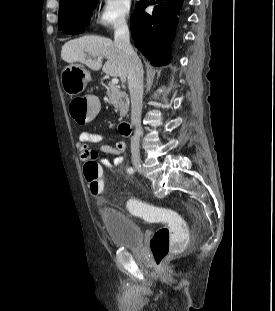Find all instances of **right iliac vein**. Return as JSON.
<instances>
[{
  "mask_svg": "<svg viewBox=\"0 0 275 311\" xmlns=\"http://www.w3.org/2000/svg\"><path fill=\"white\" fill-rule=\"evenodd\" d=\"M133 165L137 170L141 171L142 164L140 158H134Z\"/></svg>",
  "mask_w": 275,
  "mask_h": 311,
  "instance_id": "obj_1",
  "label": "right iliac vein"
}]
</instances>
